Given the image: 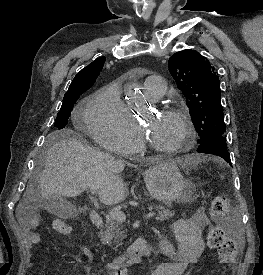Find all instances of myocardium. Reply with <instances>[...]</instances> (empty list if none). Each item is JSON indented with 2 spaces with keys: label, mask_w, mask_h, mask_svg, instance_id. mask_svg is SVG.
<instances>
[{
  "label": "myocardium",
  "mask_w": 263,
  "mask_h": 275,
  "mask_svg": "<svg viewBox=\"0 0 263 275\" xmlns=\"http://www.w3.org/2000/svg\"><path fill=\"white\" fill-rule=\"evenodd\" d=\"M161 114L169 115L177 118L184 126L185 134L180 143L171 148H165L154 144L143 129L144 140L147 146L153 151L162 155H174L182 151L192 148L195 140V127L190 116L181 109L178 108H164L160 110Z\"/></svg>",
  "instance_id": "obj_1"
}]
</instances>
